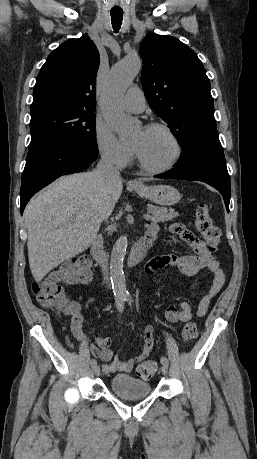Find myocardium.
Masks as SVG:
<instances>
[{
	"mask_svg": "<svg viewBox=\"0 0 257 459\" xmlns=\"http://www.w3.org/2000/svg\"><path fill=\"white\" fill-rule=\"evenodd\" d=\"M145 129H160L164 131L172 140L174 146H175V154L173 158L165 165L160 166V167H154L149 164H147L143 158L141 157L139 151L137 148L134 146V151L137 157V160L139 162V165L141 168H143L145 171L150 172V173H164L169 170H171L181 159L182 153H183V148L182 144L178 138V136L172 131L170 127H168L166 124L160 123V122H151L147 124Z\"/></svg>",
	"mask_w": 257,
	"mask_h": 459,
	"instance_id": "f54148a6",
	"label": "myocardium"
}]
</instances>
